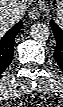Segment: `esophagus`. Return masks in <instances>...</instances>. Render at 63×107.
<instances>
[{
	"label": "esophagus",
	"mask_w": 63,
	"mask_h": 107,
	"mask_svg": "<svg viewBox=\"0 0 63 107\" xmlns=\"http://www.w3.org/2000/svg\"><path fill=\"white\" fill-rule=\"evenodd\" d=\"M29 18L31 20H37L40 16V9L37 7H33L30 11H29Z\"/></svg>",
	"instance_id": "esophagus-1"
}]
</instances>
